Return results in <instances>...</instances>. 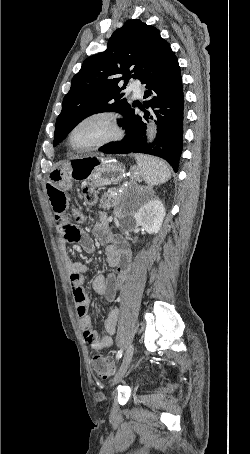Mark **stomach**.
<instances>
[{
    "instance_id": "0dacf381",
    "label": "stomach",
    "mask_w": 250,
    "mask_h": 454,
    "mask_svg": "<svg viewBox=\"0 0 250 454\" xmlns=\"http://www.w3.org/2000/svg\"><path fill=\"white\" fill-rule=\"evenodd\" d=\"M72 176L81 179L90 186L116 184L122 179L123 165L113 158L88 157L76 160L71 166ZM49 176H63L62 171H53ZM141 174L134 172V178L139 179Z\"/></svg>"
}]
</instances>
